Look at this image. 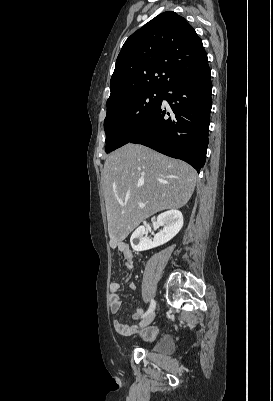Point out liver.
Returning <instances> with one entry per match:
<instances>
[{"instance_id":"6515ba94","label":"liver","mask_w":273,"mask_h":401,"mask_svg":"<svg viewBox=\"0 0 273 401\" xmlns=\"http://www.w3.org/2000/svg\"><path fill=\"white\" fill-rule=\"evenodd\" d=\"M197 172L183 160L132 144L108 154L102 174L111 243L124 241L144 219L180 209L193 194ZM144 203L145 207H138Z\"/></svg>"}]
</instances>
